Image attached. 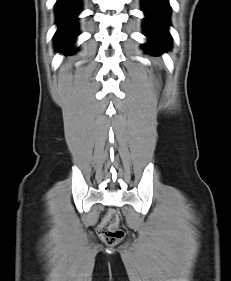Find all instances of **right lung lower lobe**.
<instances>
[{"label":"right lung lower lobe","instance_id":"obj_1","mask_svg":"<svg viewBox=\"0 0 231 281\" xmlns=\"http://www.w3.org/2000/svg\"><path fill=\"white\" fill-rule=\"evenodd\" d=\"M80 12L79 0H57L56 16L59 27L55 41L59 51H64L66 54L74 52L73 43L79 35L75 22Z\"/></svg>","mask_w":231,"mask_h":281}]
</instances>
